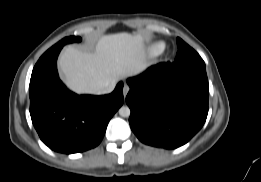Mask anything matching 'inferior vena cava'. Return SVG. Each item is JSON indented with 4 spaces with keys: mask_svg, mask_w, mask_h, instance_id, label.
Returning a JSON list of instances; mask_svg holds the SVG:
<instances>
[{
    "mask_svg": "<svg viewBox=\"0 0 261 182\" xmlns=\"http://www.w3.org/2000/svg\"><path fill=\"white\" fill-rule=\"evenodd\" d=\"M114 89V85L109 84L99 90V94L111 93Z\"/></svg>",
    "mask_w": 261,
    "mask_h": 182,
    "instance_id": "602c4592",
    "label": "inferior vena cava"
}]
</instances>
